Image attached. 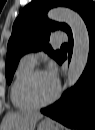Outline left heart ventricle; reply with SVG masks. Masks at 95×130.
<instances>
[{
  "label": "left heart ventricle",
  "instance_id": "left-heart-ventricle-1",
  "mask_svg": "<svg viewBox=\"0 0 95 130\" xmlns=\"http://www.w3.org/2000/svg\"><path fill=\"white\" fill-rule=\"evenodd\" d=\"M56 92V82L49 78L46 73L38 74L33 82V94L39 101H46L53 97Z\"/></svg>",
  "mask_w": 95,
  "mask_h": 130
}]
</instances>
